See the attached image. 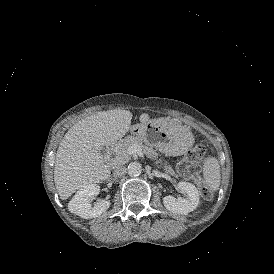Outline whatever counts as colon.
<instances>
[{"instance_id": "1", "label": "colon", "mask_w": 274, "mask_h": 274, "mask_svg": "<svg viewBox=\"0 0 274 274\" xmlns=\"http://www.w3.org/2000/svg\"><path fill=\"white\" fill-rule=\"evenodd\" d=\"M205 146L203 144H197L193 146L186 154L185 158L177 164V170L184 176L194 179L199 178L200 167L199 161L204 157ZM203 195L206 198L213 196L212 192L206 187L202 186Z\"/></svg>"}]
</instances>
